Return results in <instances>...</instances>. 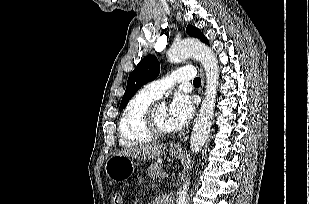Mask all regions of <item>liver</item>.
<instances>
[{
  "label": "liver",
  "mask_w": 309,
  "mask_h": 204,
  "mask_svg": "<svg viewBox=\"0 0 309 204\" xmlns=\"http://www.w3.org/2000/svg\"><path fill=\"white\" fill-rule=\"evenodd\" d=\"M166 150V144L140 145L135 147H127L115 155H125L132 158L150 160L164 155Z\"/></svg>",
  "instance_id": "1"
}]
</instances>
